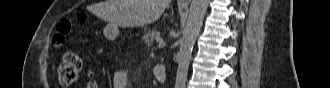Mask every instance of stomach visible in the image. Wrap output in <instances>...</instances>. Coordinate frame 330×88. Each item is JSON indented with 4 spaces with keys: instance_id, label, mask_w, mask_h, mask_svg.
Returning a JSON list of instances; mask_svg holds the SVG:
<instances>
[{
    "instance_id": "obj_1",
    "label": "stomach",
    "mask_w": 330,
    "mask_h": 88,
    "mask_svg": "<svg viewBox=\"0 0 330 88\" xmlns=\"http://www.w3.org/2000/svg\"><path fill=\"white\" fill-rule=\"evenodd\" d=\"M104 33H105L107 38L115 39L117 34H118L117 26L116 25H108L105 28Z\"/></svg>"
}]
</instances>
